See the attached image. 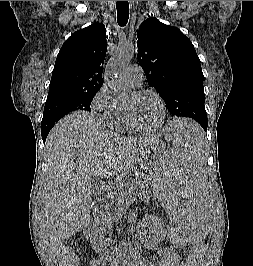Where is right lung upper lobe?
<instances>
[{
	"instance_id": "1",
	"label": "right lung upper lobe",
	"mask_w": 253,
	"mask_h": 266,
	"mask_svg": "<svg viewBox=\"0 0 253 266\" xmlns=\"http://www.w3.org/2000/svg\"><path fill=\"white\" fill-rule=\"evenodd\" d=\"M106 38L102 23H94L73 33L57 55L48 94L100 89Z\"/></svg>"
}]
</instances>
